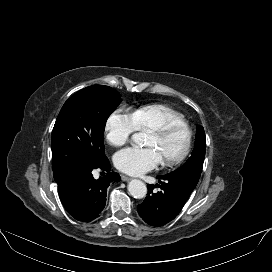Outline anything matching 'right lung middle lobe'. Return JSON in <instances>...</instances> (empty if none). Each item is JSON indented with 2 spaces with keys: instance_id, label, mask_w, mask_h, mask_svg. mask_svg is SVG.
I'll return each instance as SVG.
<instances>
[{
  "instance_id": "right-lung-middle-lobe-1",
  "label": "right lung middle lobe",
  "mask_w": 272,
  "mask_h": 272,
  "mask_svg": "<svg viewBox=\"0 0 272 272\" xmlns=\"http://www.w3.org/2000/svg\"><path fill=\"white\" fill-rule=\"evenodd\" d=\"M121 101L115 89L93 85L79 90L65 102L52 131L55 180H65L74 172L106 159V121Z\"/></svg>"
}]
</instances>
